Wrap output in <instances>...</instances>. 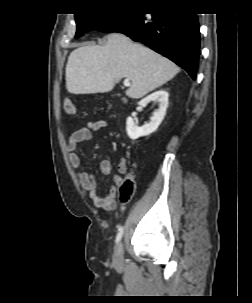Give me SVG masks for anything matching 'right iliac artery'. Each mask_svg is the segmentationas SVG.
<instances>
[{"label":"right iliac artery","instance_id":"right-iliac-artery-1","mask_svg":"<svg viewBox=\"0 0 252 303\" xmlns=\"http://www.w3.org/2000/svg\"><path fill=\"white\" fill-rule=\"evenodd\" d=\"M122 235H123V227L119 226L118 233H117V236H116V241H115L116 243H118L121 240Z\"/></svg>","mask_w":252,"mask_h":303}]
</instances>
